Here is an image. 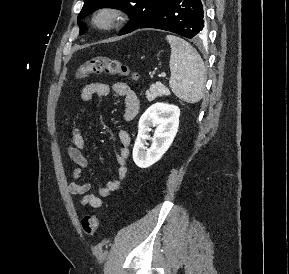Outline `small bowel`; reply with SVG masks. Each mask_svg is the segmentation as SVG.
I'll return each instance as SVG.
<instances>
[{"instance_id": "c3829d8e", "label": "small bowel", "mask_w": 289, "mask_h": 274, "mask_svg": "<svg viewBox=\"0 0 289 274\" xmlns=\"http://www.w3.org/2000/svg\"><path fill=\"white\" fill-rule=\"evenodd\" d=\"M111 93L123 99L124 119L126 121L133 120L139 112L140 101L134 90L126 83L116 82L111 86L100 82L89 83L81 90L80 97L82 102L87 103L94 95L109 97ZM118 140L120 149L116 155V178L106 181L97 189L96 193H92L91 185L82 178V173L88 166V160L84 154L86 140L78 124L74 123L72 125L67 145V155L76 167L73 171V182L69 185V193L73 196H81L80 205L82 207L101 208L103 206V199L117 191L126 178L131 138L126 130H120Z\"/></svg>"}]
</instances>
